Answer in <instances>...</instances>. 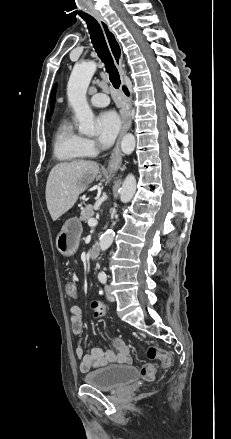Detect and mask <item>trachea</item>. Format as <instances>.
<instances>
[{
  "label": "trachea",
  "instance_id": "trachea-1",
  "mask_svg": "<svg viewBox=\"0 0 231 439\" xmlns=\"http://www.w3.org/2000/svg\"><path fill=\"white\" fill-rule=\"evenodd\" d=\"M84 19L86 20L95 51L97 52L101 61L105 64L106 72L109 74L111 83L117 89L120 86V76L117 68L114 65L103 31L99 23L92 16L87 15L84 17Z\"/></svg>",
  "mask_w": 231,
  "mask_h": 439
}]
</instances>
